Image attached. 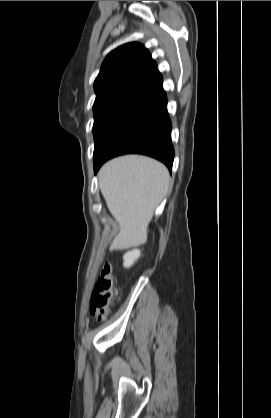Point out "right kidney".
<instances>
[{"instance_id":"ca27d5eb","label":"right kidney","mask_w":271,"mask_h":418,"mask_svg":"<svg viewBox=\"0 0 271 418\" xmlns=\"http://www.w3.org/2000/svg\"><path fill=\"white\" fill-rule=\"evenodd\" d=\"M140 257V250L134 249L132 251L127 252L124 256V267L129 268L131 267L134 262Z\"/></svg>"}]
</instances>
